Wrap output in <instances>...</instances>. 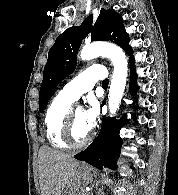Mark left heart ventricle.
<instances>
[{
  "label": "left heart ventricle",
  "instance_id": "obj_1",
  "mask_svg": "<svg viewBox=\"0 0 178 195\" xmlns=\"http://www.w3.org/2000/svg\"><path fill=\"white\" fill-rule=\"evenodd\" d=\"M90 132L91 130L88 129L84 122L83 112L80 109H76L73 115V139L76 142H82L90 135Z\"/></svg>",
  "mask_w": 178,
  "mask_h": 195
}]
</instances>
